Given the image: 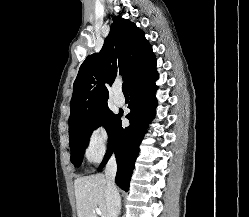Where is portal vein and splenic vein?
I'll return each instance as SVG.
<instances>
[{"mask_svg":"<svg viewBox=\"0 0 249 217\" xmlns=\"http://www.w3.org/2000/svg\"><path fill=\"white\" fill-rule=\"evenodd\" d=\"M96 213L99 214L101 217H104V215L102 214V212L99 208H96Z\"/></svg>","mask_w":249,"mask_h":217,"instance_id":"obj_1","label":"portal vein and splenic vein"}]
</instances>
